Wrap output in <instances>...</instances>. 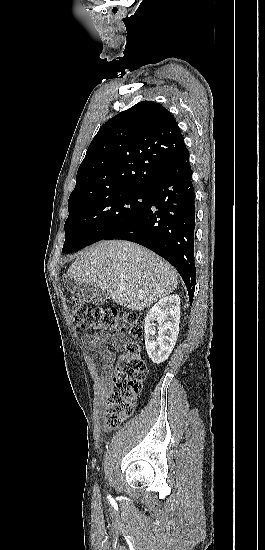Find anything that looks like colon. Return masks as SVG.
<instances>
[{
    "label": "colon",
    "instance_id": "1",
    "mask_svg": "<svg viewBox=\"0 0 265 550\" xmlns=\"http://www.w3.org/2000/svg\"><path fill=\"white\" fill-rule=\"evenodd\" d=\"M71 309L75 322L85 330L128 333L132 339L119 353L105 397L104 420L108 427H118L135 409L146 376L138 340L143 334L138 314L113 308L91 307L73 298Z\"/></svg>",
    "mask_w": 265,
    "mask_h": 550
}]
</instances>
